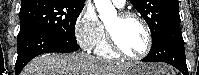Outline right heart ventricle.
Here are the masks:
<instances>
[{"label": "right heart ventricle", "instance_id": "obj_1", "mask_svg": "<svg viewBox=\"0 0 199 75\" xmlns=\"http://www.w3.org/2000/svg\"><path fill=\"white\" fill-rule=\"evenodd\" d=\"M95 52L97 55L107 59L116 57V53L111 49L105 37H103L101 42L95 48Z\"/></svg>", "mask_w": 199, "mask_h": 75}]
</instances>
